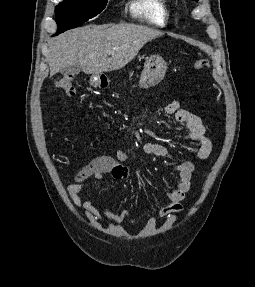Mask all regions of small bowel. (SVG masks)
<instances>
[{"label": "small bowel", "instance_id": "obj_1", "mask_svg": "<svg viewBox=\"0 0 255 287\" xmlns=\"http://www.w3.org/2000/svg\"><path fill=\"white\" fill-rule=\"evenodd\" d=\"M163 112L168 115H175L177 122L182 126L184 137L198 145L191 158L182 161L174 167L178 174V184L167 194L168 203L162 206L157 215L152 216L148 224L155 225L157 218H165L178 213L183 209L182 201L185 194L191 186L192 173L194 171L193 159L205 160L212 151V142L207 137L202 119L180 108L179 102L172 100L163 107ZM143 152L147 155L156 157L173 158V153L165 146L148 142L143 145ZM127 158V153L118 151L114 156H98L85 165L74 177V181L69 185L68 191L73 204L76 207L83 206L88 219L91 222H100L104 219L111 221L112 225H117L128 218L129 213L126 210L112 212L109 209L85 200L88 193L84 190L82 184L89 178L101 180L105 175H110L116 180H125L128 177V169L122 163Z\"/></svg>", "mask_w": 255, "mask_h": 287}]
</instances>
